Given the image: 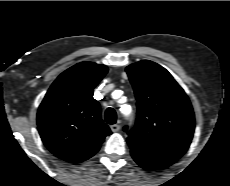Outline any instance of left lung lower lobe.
I'll list each match as a JSON object with an SVG mask.
<instances>
[{"label": "left lung lower lobe", "instance_id": "0a47b994", "mask_svg": "<svg viewBox=\"0 0 230 186\" xmlns=\"http://www.w3.org/2000/svg\"><path fill=\"white\" fill-rule=\"evenodd\" d=\"M131 155L133 159L139 164L142 168L146 170H157L170 166L175 161L165 158L152 157L148 155H143L134 150H131Z\"/></svg>", "mask_w": 230, "mask_h": 186}]
</instances>
